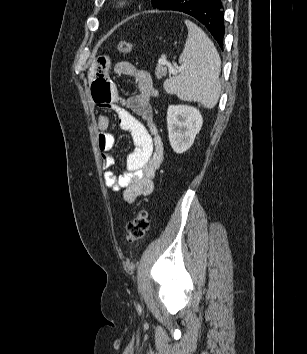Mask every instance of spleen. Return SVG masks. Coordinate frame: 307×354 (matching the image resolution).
I'll return each mask as SVG.
<instances>
[{
  "instance_id": "obj_1",
  "label": "spleen",
  "mask_w": 307,
  "mask_h": 354,
  "mask_svg": "<svg viewBox=\"0 0 307 354\" xmlns=\"http://www.w3.org/2000/svg\"><path fill=\"white\" fill-rule=\"evenodd\" d=\"M188 37L179 61L182 71L164 83L165 90L184 101L213 108L219 99L221 59L213 42L194 23L186 20Z\"/></svg>"
}]
</instances>
